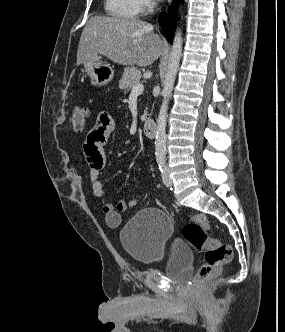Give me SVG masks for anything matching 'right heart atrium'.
<instances>
[{
	"mask_svg": "<svg viewBox=\"0 0 285 332\" xmlns=\"http://www.w3.org/2000/svg\"><path fill=\"white\" fill-rule=\"evenodd\" d=\"M137 2H138L139 12L142 13L152 10L156 5L155 0H137Z\"/></svg>",
	"mask_w": 285,
	"mask_h": 332,
	"instance_id": "right-heart-atrium-1",
	"label": "right heart atrium"
}]
</instances>
